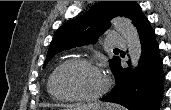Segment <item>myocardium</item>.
Masks as SVG:
<instances>
[{
	"label": "myocardium",
	"mask_w": 171,
	"mask_h": 110,
	"mask_svg": "<svg viewBox=\"0 0 171 110\" xmlns=\"http://www.w3.org/2000/svg\"><path fill=\"white\" fill-rule=\"evenodd\" d=\"M72 64H77V65H84L87 67H90L94 69L95 71L99 72L103 76V86L102 88L95 94L93 95H77V96H71V95H65L62 94L56 87V78L58 73L66 66L72 65ZM50 89L52 94L59 100L63 101H75V102H95L102 98L106 92L108 91L110 87L109 80L107 76L104 74V72L92 61L87 60V59H82V58H73V59H68L61 63L52 73L50 80Z\"/></svg>",
	"instance_id": "myocardium-1"
}]
</instances>
